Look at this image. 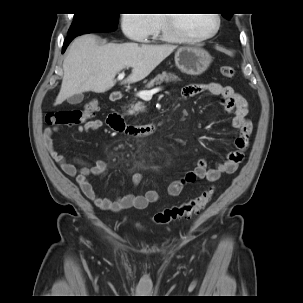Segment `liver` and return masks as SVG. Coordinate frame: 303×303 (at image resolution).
I'll use <instances>...</instances> for the list:
<instances>
[{
	"label": "liver",
	"mask_w": 303,
	"mask_h": 303,
	"mask_svg": "<svg viewBox=\"0 0 303 303\" xmlns=\"http://www.w3.org/2000/svg\"><path fill=\"white\" fill-rule=\"evenodd\" d=\"M174 45L137 43L100 45L95 35L76 38L63 62L64 76L55 105L83 92L103 93L115 85V76L132 67L124 83L147 77L175 49Z\"/></svg>",
	"instance_id": "1"
}]
</instances>
